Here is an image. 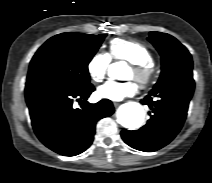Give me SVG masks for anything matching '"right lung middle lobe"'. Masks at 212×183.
<instances>
[{"instance_id":"1","label":"right lung middle lobe","mask_w":212,"mask_h":183,"mask_svg":"<svg viewBox=\"0 0 212 183\" xmlns=\"http://www.w3.org/2000/svg\"><path fill=\"white\" fill-rule=\"evenodd\" d=\"M106 34L62 33L47 40L33 56L27 82L67 86L90 83L88 64Z\"/></svg>"}]
</instances>
